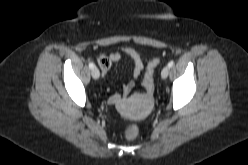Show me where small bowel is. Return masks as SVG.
<instances>
[{
	"instance_id": "1",
	"label": "small bowel",
	"mask_w": 248,
	"mask_h": 165,
	"mask_svg": "<svg viewBox=\"0 0 248 165\" xmlns=\"http://www.w3.org/2000/svg\"><path fill=\"white\" fill-rule=\"evenodd\" d=\"M123 54L128 56L133 61L134 67L132 71V78L123 84L122 94L116 93L110 98V103L112 104H117L121 100L122 96L126 97L131 94L135 87L136 80L140 77L144 69V61L141 53L132 47L126 46L122 49V53L115 51L107 55H102L98 58V65L103 75H106L109 72L111 65L114 62L119 61Z\"/></svg>"
}]
</instances>
